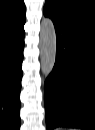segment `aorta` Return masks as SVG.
Masks as SVG:
<instances>
[{
  "mask_svg": "<svg viewBox=\"0 0 95 130\" xmlns=\"http://www.w3.org/2000/svg\"><path fill=\"white\" fill-rule=\"evenodd\" d=\"M41 72L47 77L52 72L56 61V33L50 18H43L40 30Z\"/></svg>",
  "mask_w": 95,
  "mask_h": 130,
  "instance_id": "762f6f07",
  "label": "aorta"
}]
</instances>
